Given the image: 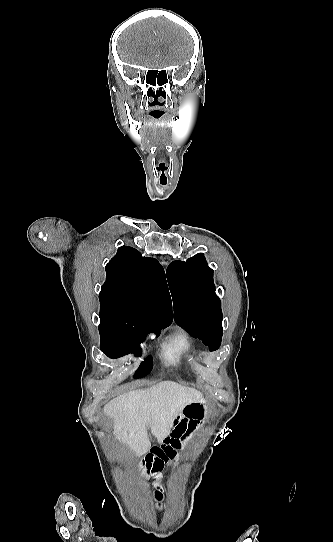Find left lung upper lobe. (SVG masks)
Listing matches in <instances>:
<instances>
[{"label":"left lung upper lobe","instance_id":"left-lung-upper-lobe-1","mask_svg":"<svg viewBox=\"0 0 333 542\" xmlns=\"http://www.w3.org/2000/svg\"><path fill=\"white\" fill-rule=\"evenodd\" d=\"M166 273L175 322L201 339L210 351L217 350L223 334L221 301L204 254H196L186 262L173 261Z\"/></svg>","mask_w":333,"mask_h":542}]
</instances>
